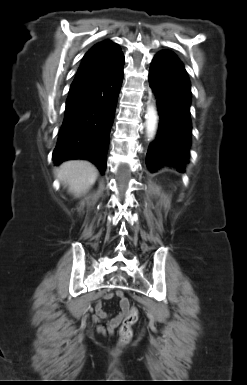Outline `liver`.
<instances>
[{"mask_svg":"<svg viewBox=\"0 0 247 385\" xmlns=\"http://www.w3.org/2000/svg\"><path fill=\"white\" fill-rule=\"evenodd\" d=\"M58 179L68 185L75 196L85 193L96 181L98 171L93 164L83 160H70L61 164Z\"/></svg>","mask_w":247,"mask_h":385,"instance_id":"liver-1","label":"liver"}]
</instances>
